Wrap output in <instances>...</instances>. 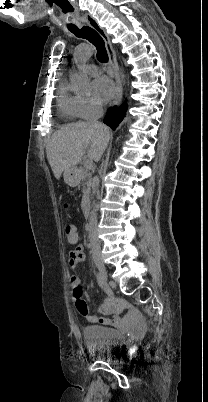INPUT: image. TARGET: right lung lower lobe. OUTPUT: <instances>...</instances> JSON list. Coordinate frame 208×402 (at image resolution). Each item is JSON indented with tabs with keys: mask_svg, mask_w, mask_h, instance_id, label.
<instances>
[{
	"mask_svg": "<svg viewBox=\"0 0 208 402\" xmlns=\"http://www.w3.org/2000/svg\"><path fill=\"white\" fill-rule=\"evenodd\" d=\"M127 110L126 101L119 107H111L108 109L104 123L111 127L113 130L117 128L119 123L123 120Z\"/></svg>",
	"mask_w": 208,
	"mask_h": 402,
	"instance_id": "1",
	"label": "right lung lower lobe"
}]
</instances>
